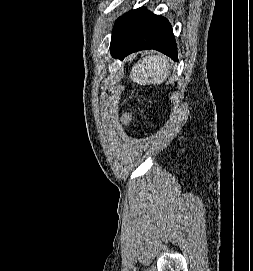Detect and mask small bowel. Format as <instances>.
I'll return each instance as SVG.
<instances>
[{"instance_id":"small-bowel-1","label":"small bowel","mask_w":253,"mask_h":271,"mask_svg":"<svg viewBox=\"0 0 253 271\" xmlns=\"http://www.w3.org/2000/svg\"><path fill=\"white\" fill-rule=\"evenodd\" d=\"M132 120H133L132 115L127 114V115H125L124 118H123V123H124L125 125H129V124L132 122Z\"/></svg>"}]
</instances>
